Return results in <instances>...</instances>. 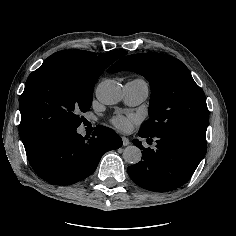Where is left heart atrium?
Instances as JSON below:
<instances>
[{"label":"left heart atrium","mask_w":236,"mask_h":236,"mask_svg":"<svg viewBox=\"0 0 236 236\" xmlns=\"http://www.w3.org/2000/svg\"><path fill=\"white\" fill-rule=\"evenodd\" d=\"M137 116L130 115L128 117L117 116L113 119L114 125L121 131L128 132L131 129V124L137 121Z\"/></svg>","instance_id":"left-heart-atrium-1"}]
</instances>
